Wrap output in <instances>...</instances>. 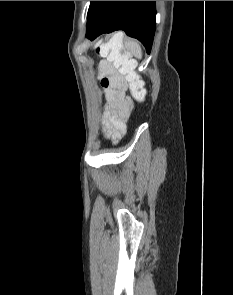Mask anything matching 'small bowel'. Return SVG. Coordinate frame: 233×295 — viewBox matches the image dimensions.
Here are the masks:
<instances>
[{
  "instance_id": "obj_1",
  "label": "small bowel",
  "mask_w": 233,
  "mask_h": 295,
  "mask_svg": "<svg viewBox=\"0 0 233 295\" xmlns=\"http://www.w3.org/2000/svg\"><path fill=\"white\" fill-rule=\"evenodd\" d=\"M107 102L108 107L103 118V131L107 137L117 141L125 131L124 121L129 116L131 101L122 90L107 92Z\"/></svg>"
}]
</instances>
